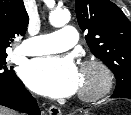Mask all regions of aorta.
<instances>
[{"instance_id":"762f6f07","label":"aorta","mask_w":131,"mask_h":115,"mask_svg":"<svg viewBox=\"0 0 131 115\" xmlns=\"http://www.w3.org/2000/svg\"><path fill=\"white\" fill-rule=\"evenodd\" d=\"M70 20V12L68 10H55L50 13L49 21L54 27H61L67 24Z\"/></svg>"}]
</instances>
